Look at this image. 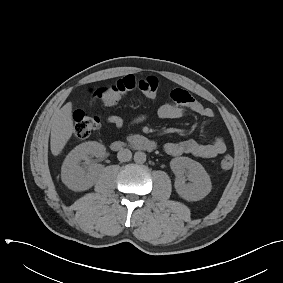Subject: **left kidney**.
<instances>
[{"mask_svg":"<svg viewBox=\"0 0 283 283\" xmlns=\"http://www.w3.org/2000/svg\"><path fill=\"white\" fill-rule=\"evenodd\" d=\"M170 167L176 176L175 189L185 200L198 201L211 191L212 185L204 167L188 157H177L171 160ZM188 173L191 183L185 182L184 174Z\"/></svg>","mask_w":283,"mask_h":283,"instance_id":"left-kidney-1","label":"left kidney"}]
</instances>
